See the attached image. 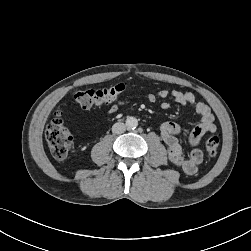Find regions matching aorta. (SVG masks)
<instances>
[{"label": "aorta", "instance_id": "obj_1", "mask_svg": "<svg viewBox=\"0 0 251 251\" xmlns=\"http://www.w3.org/2000/svg\"><path fill=\"white\" fill-rule=\"evenodd\" d=\"M138 125V120L135 117H128L126 119V127L128 129H134Z\"/></svg>", "mask_w": 251, "mask_h": 251}]
</instances>
